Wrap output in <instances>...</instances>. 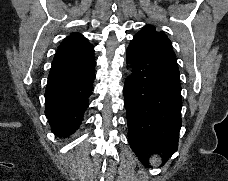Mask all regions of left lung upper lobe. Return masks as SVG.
Returning <instances> with one entry per match:
<instances>
[{"label": "left lung upper lobe", "instance_id": "5c2ea615", "mask_svg": "<svg viewBox=\"0 0 228 181\" xmlns=\"http://www.w3.org/2000/svg\"><path fill=\"white\" fill-rule=\"evenodd\" d=\"M134 38L144 39L155 44L161 45L163 47L171 48V41L168 37L161 31L157 32L155 27L146 25L141 31H139Z\"/></svg>", "mask_w": 228, "mask_h": 181}]
</instances>
